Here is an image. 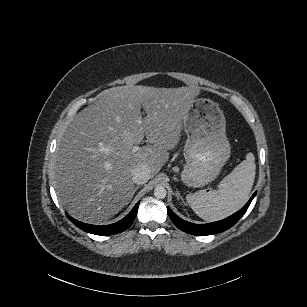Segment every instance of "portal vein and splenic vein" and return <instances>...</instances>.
Instances as JSON below:
<instances>
[{
  "label": "portal vein and splenic vein",
  "instance_id": "obj_1",
  "mask_svg": "<svg viewBox=\"0 0 307 307\" xmlns=\"http://www.w3.org/2000/svg\"><path fill=\"white\" fill-rule=\"evenodd\" d=\"M139 150L138 146H134L131 148V153H137ZM110 150L108 148H102L101 152H109Z\"/></svg>",
  "mask_w": 307,
  "mask_h": 307
}]
</instances>
